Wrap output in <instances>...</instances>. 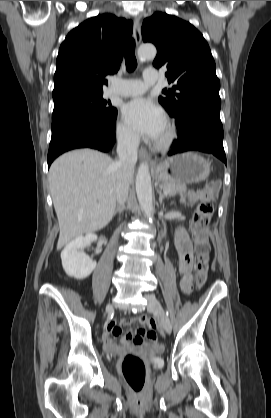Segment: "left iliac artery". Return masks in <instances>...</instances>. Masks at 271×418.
I'll list each match as a JSON object with an SVG mask.
<instances>
[{"mask_svg": "<svg viewBox=\"0 0 271 418\" xmlns=\"http://www.w3.org/2000/svg\"><path fill=\"white\" fill-rule=\"evenodd\" d=\"M166 314H167V316H169V313L168 312H166Z\"/></svg>", "mask_w": 271, "mask_h": 418, "instance_id": "left-iliac-artery-1", "label": "left iliac artery"}]
</instances>
